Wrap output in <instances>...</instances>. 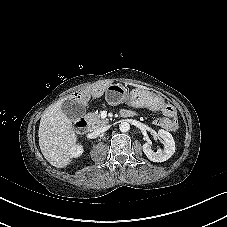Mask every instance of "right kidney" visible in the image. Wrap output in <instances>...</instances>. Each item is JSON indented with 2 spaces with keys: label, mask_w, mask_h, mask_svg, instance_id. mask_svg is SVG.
I'll use <instances>...</instances> for the list:
<instances>
[{
  "label": "right kidney",
  "mask_w": 227,
  "mask_h": 227,
  "mask_svg": "<svg viewBox=\"0 0 227 227\" xmlns=\"http://www.w3.org/2000/svg\"><path fill=\"white\" fill-rule=\"evenodd\" d=\"M83 153V146L82 145H75L73 148H72V151H71V157L73 158H76V157H79L80 155H82Z\"/></svg>",
  "instance_id": "ca27d5eb"
}]
</instances>
